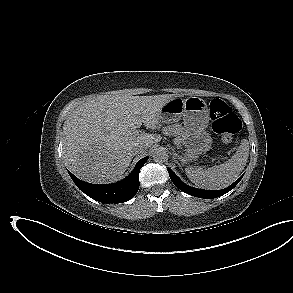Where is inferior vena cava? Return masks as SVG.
<instances>
[{
    "label": "inferior vena cava",
    "instance_id": "obj_1",
    "mask_svg": "<svg viewBox=\"0 0 293 293\" xmlns=\"http://www.w3.org/2000/svg\"><path fill=\"white\" fill-rule=\"evenodd\" d=\"M145 150V147L142 145H137L134 147L133 152L134 154L142 153Z\"/></svg>",
    "mask_w": 293,
    "mask_h": 293
}]
</instances>
